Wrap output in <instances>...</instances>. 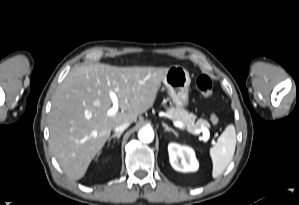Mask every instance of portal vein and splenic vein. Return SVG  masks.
Segmentation results:
<instances>
[{
  "mask_svg": "<svg viewBox=\"0 0 299 205\" xmlns=\"http://www.w3.org/2000/svg\"><path fill=\"white\" fill-rule=\"evenodd\" d=\"M109 97H110L113 105H112V107H110L108 109L107 115L108 116H114L115 114H117L118 109H119V105H118L119 99H118L117 94L115 92H113V91L109 92ZM174 126L180 128V129L184 128V124L181 123V122H179V121H174ZM202 131H203V133L205 135L204 137L208 138L209 131L207 129H202Z\"/></svg>",
  "mask_w": 299,
  "mask_h": 205,
  "instance_id": "18ae733b",
  "label": "portal vein and splenic vein"
}]
</instances>
